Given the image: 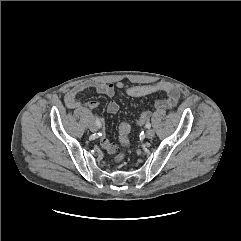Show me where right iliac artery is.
<instances>
[{"instance_id":"obj_1","label":"right iliac artery","mask_w":241,"mask_h":241,"mask_svg":"<svg viewBox=\"0 0 241 241\" xmlns=\"http://www.w3.org/2000/svg\"><path fill=\"white\" fill-rule=\"evenodd\" d=\"M95 123H96L98 128L101 127V122H100V120H99V118L97 116H95Z\"/></svg>"}]
</instances>
